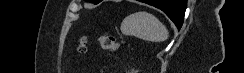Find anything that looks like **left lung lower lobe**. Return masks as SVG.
<instances>
[{
    "instance_id": "1",
    "label": "left lung lower lobe",
    "mask_w": 244,
    "mask_h": 73,
    "mask_svg": "<svg viewBox=\"0 0 244 73\" xmlns=\"http://www.w3.org/2000/svg\"><path fill=\"white\" fill-rule=\"evenodd\" d=\"M161 9L180 29L186 10L187 0H140ZM101 2V1H100Z\"/></svg>"
}]
</instances>
